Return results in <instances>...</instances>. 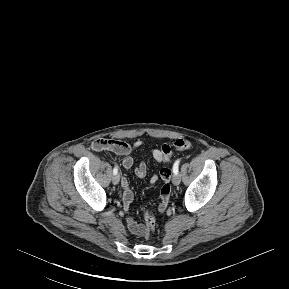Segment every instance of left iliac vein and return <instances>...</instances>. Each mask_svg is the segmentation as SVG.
<instances>
[{"instance_id":"4c4485c4","label":"left iliac vein","mask_w":289,"mask_h":289,"mask_svg":"<svg viewBox=\"0 0 289 289\" xmlns=\"http://www.w3.org/2000/svg\"><path fill=\"white\" fill-rule=\"evenodd\" d=\"M180 181H181V176L180 174H174L173 177H172V183L174 185H179L180 184Z\"/></svg>"}]
</instances>
